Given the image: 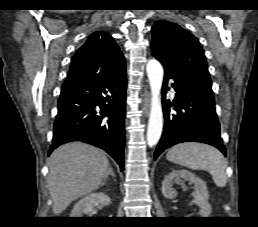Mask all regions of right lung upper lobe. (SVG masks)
Here are the masks:
<instances>
[{"mask_svg": "<svg viewBox=\"0 0 258 227\" xmlns=\"http://www.w3.org/2000/svg\"><path fill=\"white\" fill-rule=\"evenodd\" d=\"M120 63L125 60L114 39L105 32H95L72 57L67 79L102 73Z\"/></svg>", "mask_w": 258, "mask_h": 227, "instance_id": "cb5924a9", "label": "right lung upper lobe"}]
</instances>
